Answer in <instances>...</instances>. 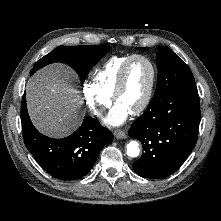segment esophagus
<instances>
[{"label": "esophagus", "mask_w": 221, "mask_h": 221, "mask_svg": "<svg viewBox=\"0 0 221 221\" xmlns=\"http://www.w3.org/2000/svg\"><path fill=\"white\" fill-rule=\"evenodd\" d=\"M113 134L117 139H125L127 137V134L122 130H114Z\"/></svg>", "instance_id": "1"}]
</instances>
